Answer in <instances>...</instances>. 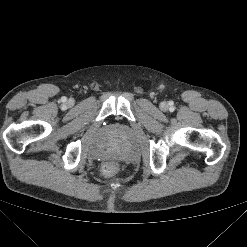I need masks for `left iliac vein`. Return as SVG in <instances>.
Segmentation results:
<instances>
[{"instance_id":"1","label":"left iliac vein","mask_w":247,"mask_h":247,"mask_svg":"<svg viewBox=\"0 0 247 247\" xmlns=\"http://www.w3.org/2000/svg\"><path fill=\"white\" fill-rule=\"evenodd\" d=\"M160 108L162 109V110H167L168 109V104L166 103V102H162L161 104H160Z\"/></svg>"}]
</instances>
